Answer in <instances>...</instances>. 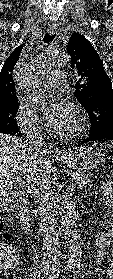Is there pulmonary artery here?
<instances>
[{
	"label": "pulmonary artery",
	"instance_id": "pulmonary-artery-1",
	"mask_svg": "<svg viewBox=\"0 0 113 279\" xmlns=\"http://www.w3.org/2000/svg\"><path fill=\"white\" fill-rule=\"evenodd\" d=\"M65 75L63 73H51L43 81V87L46 89H59L64 85Z\"/></svg>",
	"mask_w": 113,
	"mask_h": 279
}]
</instances>
